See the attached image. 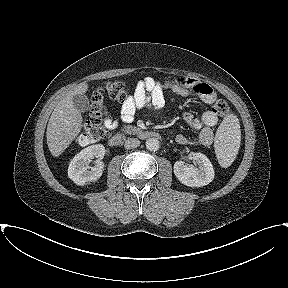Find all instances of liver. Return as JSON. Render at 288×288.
I'll list each match as a JSON object with an SVG mask.
<instances>
[{
	"instance_id": "liver-1",
	"label": "liver",
	"mask_w": 288,
	"mask_h": 288,
	"mask_svg": "<svg viewBox=\"0 0 288 288\" xmlns=\"http://www.w3.org/2000/svg\"><path fill=\"white\" fill-rule=\"evenodd\" d=\"M88 84L80 83L69 91L52 112L46 131L47 145L51 154L60 156L81 131L83 118L74 107L73 96L86 93Z\"/></svg>"
}]
</instances>
